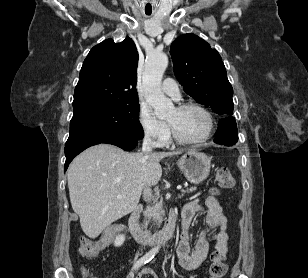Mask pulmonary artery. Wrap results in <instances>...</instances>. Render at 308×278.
I'll return each instance as SVG.
<instances>
[{
  "label": "pulmonary artery",
  "mask_w": 308,
  "mask_h": 278,
  "mask_svg": "<svg viewBox=\"0 0 308 278\" xmlns=\"http://www.w3.org/2000/svg\"><path fill=\"white\" fill-rule=\"evenodd\" d=\"M162 90L173 99L178 100L180 98V92L177 83L171 79L166 78L162 83Z\"/></svg>",
  "instance_id": "1"
}]
</instances>
